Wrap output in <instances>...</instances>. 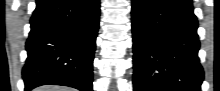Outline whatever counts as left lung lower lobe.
<instances>
[{
    "label": "left lung lower lobe",
    "mask_w": 220,
    "mask_h": 91,
    "mask_svg": "<svg viewBox=\"0 0 220 91\" xmlns=\"http://www.w3.org/2000/svg\"><path fill=\"white\" fill-rule=\"evenodd\" d=\"M134 91H200L204 78L191 0H132Z\"/></svg>",
    "instance_id": "0a47b994"
}]
</instances>
